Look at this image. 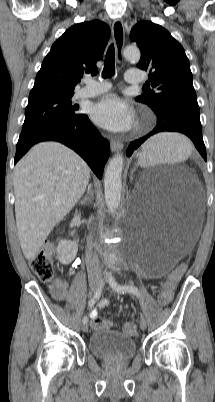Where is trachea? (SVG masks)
<instances>
[{
    "instance_id": "1",
    "label": "trachea",
    "mask_w": 215,
    "mask_h": 402,
    "mask_svg": "<svg viewBox=\"0 0 215 402\" xmlns=\"http://www.w3.org/2000/svg\"><path fill=\"white\" fill-rule=\"evenodd\" d=\"M115 74V48L111 44L105 56V64L102 72L103 78H110Z\"/></svg>"
}]
</instances>
